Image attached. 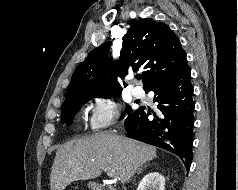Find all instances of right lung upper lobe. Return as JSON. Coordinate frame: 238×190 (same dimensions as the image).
Instances as JSON below:
<instances>
[{"label": "right lung upper lobe", "instance_id": "obj_1", "mask_svg": "<svg viewBox=\"0 0 238 190\" xmlns=\"http://www.w3.org/2000/svg\"><path fill=\"white\" fill-rule=\"evenodd\" d=\"M110 45V42L102 44L77 67L66 99L81 94H119L122 91L120 83L129 71L144 70L143 89L146 90L177 71L186 60L175 33L167 24L150 18L130 22L119 61L114 62L106 55Z\"/></svg>", "mask_w": 238, "mask_h": 190}]
</instances>
